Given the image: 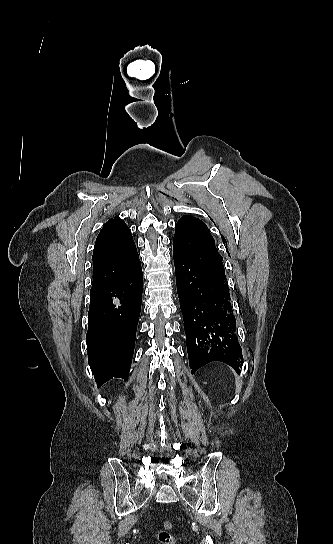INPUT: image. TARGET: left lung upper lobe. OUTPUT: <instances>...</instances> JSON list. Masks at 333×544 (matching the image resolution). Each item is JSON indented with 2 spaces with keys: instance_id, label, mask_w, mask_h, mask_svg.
Segmentation results:
<instances>
[{
  "instance_id": "1",
  "label": "left lung upper lobe",
  "mask_w": 333,
  "mask_h": 544,
  "mask_svg": "<svg viewBox=\"0 0 333 544\" xmlns=\"http://www.w3.org/2000/svg\"><path fill=\"white\" fill-rule=\"evenodd\" d=\"M173 250L181 252L192 261L215 270L226 279L223 258L206 224L193 216L185 215L175 226Z\"/></svg>"
}]
</instances>
